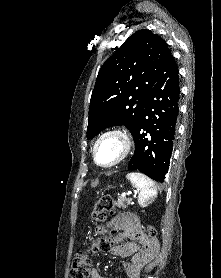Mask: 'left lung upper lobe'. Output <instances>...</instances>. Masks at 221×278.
<instances>
[{
	"label": "left lung upper lobe",
	"mask_w": 221,
	"mask_h": 278,
	"mask_svg": "<svg viewBox=\"0 0 221 278\" xmlns=\"http://www.w3.org/2000/svg\"><path fill=\"white\" fill-rule=\"evenodd\" d=\"M101 66L91 95L87 139L103 129L125 125L134 132L145 100L173 57L166 42L139 30Z\"/></svg>",
	"instance_id": "1"
}]
</instances>
